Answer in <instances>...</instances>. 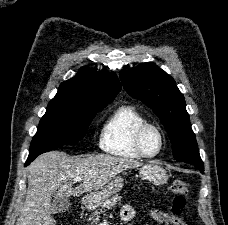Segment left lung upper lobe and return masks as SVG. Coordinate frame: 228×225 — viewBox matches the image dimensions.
<instances>
[{
	"label": "left lung upper lobe",
	"instance_id": "5c2ea615",
	"mask_svg": "<svg viewBox=\"0 0 228 225\" xmlns=\"http://www.w3.org/2000/svg\"><path fill=\"white\" fill-rule=\"evenodd\" d=\"M120 77L124 89L160 118L169 134L174 158L204 170L184 96L174 79L153 63L121 71Z\"/></svg>",
	"mask_w": 228,
	"mask_h": 225
}]
</instances>
